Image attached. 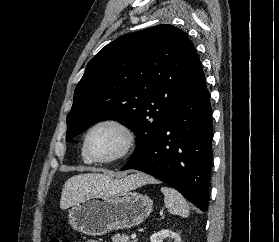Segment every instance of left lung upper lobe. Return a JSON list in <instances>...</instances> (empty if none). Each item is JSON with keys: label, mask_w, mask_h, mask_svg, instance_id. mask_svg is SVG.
Here are the masks:
<instances>
[{"label": "left lung upper lobe", "mask_w": 279, "mask_h": 242, "mask_svg": "<svg viewBox=\"0 0 279 242\" xmlns=\"http://www.w3.org/2000/svg\"><path fill=\"white\" fill-rule=\"evenodd\" d=\"M199 58L181 29L167 24L109 43L88 63L67 116L66 139L104 120L137 136L136 158L159 136Z\"/></svg>", "instance_id": "left-lung-upper-lobe-1"}]
</instances>
